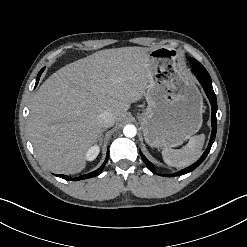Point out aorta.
<instances>
[{
    "mask_svg": "<svg viewBox=\"0 0 247 247\" xmlns=\"http://www.w3.org/2000/svg\"><path fill=\"white\" fill-rule=\"evenodd\" d=\"M123 134L128 138L135 137L137 134V129L134 125L128 124L123 128Z\"/></svg>",
    "mask_w": 247,
    "mask_h": 247,
    "instance_id": "762f6f07",
    "label": "aorta"
}]
</instances>
